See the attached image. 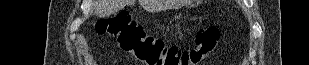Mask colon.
Masks as SVG:
<instances>
[{"mask_svg":"<svg viewBox=\"0 0 309 65\" xmlns=\"http://www.w3.org/2000/svg\"><path fill=\"white\" fill-rule=\"evenodd\" d=\"M99 34L115 39L121 50L145 65H198L216 49L220 31L215 26L199 30L195 46L183 49L146 34L131 14L122 11L98 21Z\"/></svg>","mask_w":309,"mask_h":65,"instance_id":"colon-1","label":"colon"}]
</instances>
